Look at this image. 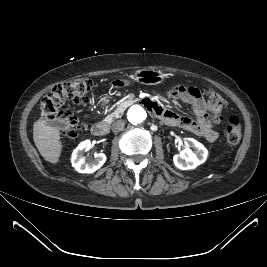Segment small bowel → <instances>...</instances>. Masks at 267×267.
Listing matches in <instances>:
<instances>
[{"label": "small bowel", "mask_w": 267, "mask_h": 267, "mask_svg": "<svg viewBox=\"0 0 267 267\" xmlns=\"http://www.w3.org/2000/svg\"><path fill=\"white\" fill-rule=\"evenodd\" d=\"M123 84V81H115L113 86L119 87ZM169 95L190 105L195 119L179 115L157 101L151 102L150 108L158 117L169 125L180 127L209 142H215L219 138V133L214 128V122L207 114L206 103L197 88L177 84L171 88Z\"/></svg>", "instance_id": "1"}]
</instances>
